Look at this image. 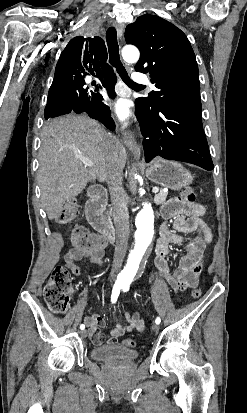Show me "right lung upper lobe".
Masks as SVG:
<instances>
[{
  "instance_id": "1",
  "label": "right lung upper lobe",
  "mask_w": 247,
  "mask_h": 413,
  "mask_svg": "<svg viewBox=\"0 0 247 413\" xmlns=\"http://www.w3.org/2000/svg\"><path fill=\"white\" fill-rule=\"evenodd\" d=\"M86 75L99 78L114 75L107 64V50L100 37L82 36L70 40L56 65L53 82H65Z\"/></svg>"
}]
</instances>
